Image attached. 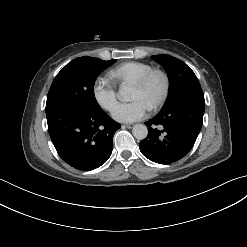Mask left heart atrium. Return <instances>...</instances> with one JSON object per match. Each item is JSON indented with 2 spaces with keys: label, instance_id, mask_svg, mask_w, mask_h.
I'll list each match as a JSON object with an SVG mask.
<instances>
[{
  "label": "left heart atrium",
  "instance_id": "left-heart-atrium-1",
  "mask_svg": "<svg viewBox=\"0 0 247 247\" xmlns=\"http://www.w3.org/2000/svg\"><path fill=\"white\" fill-rule=\"evenodd\" d=\"M150 107L142 99L116 104L112 109V116L119 122H134L145 117Z\"/></svg>",
  "mask_w": 247,
  "mask_h": 247
}]
</instances>
